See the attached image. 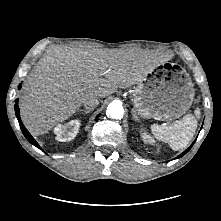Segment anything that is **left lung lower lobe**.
Returning <instances> with one entry per match:
<instances>
[{
    "mask_svg": "<svg viewBox=\"0 0 221 221\" xmlns=\"http://www.w3.org/2000/svg\"><path fill=\"white\" fill-rule=\"evenodd\" d=\"M195 142V141H194ZM194 142H193V144H194ZM193 144L188 148V149H186L182 154H180L177 158H180V157H182L183 155H185L190 149H191V147L193 146Z\"/></svg>",
    "mask_w": 221,
    "mask_h": 221,
    "instance_id": "1",
    "label": "left lung lower lobe"
}]
</instances>
